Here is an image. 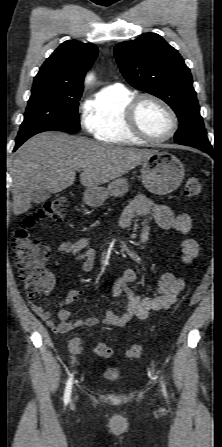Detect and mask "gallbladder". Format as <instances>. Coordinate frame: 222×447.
I'll list each match as a JSON object with an SVG mask.
<instances>
[{
    "mask_svg": "<svg viewBox=\"0 0 222 447\" xmlns=\"http://www.w3.org/2000/svg\"><path fill=\"white\" fill-rule=\"evenodd\" d=\"M50 196L51 193L47 189L39 187L34 191L32 202L35 204H40L48 200Z\"/></svg>",
    "mask_w": 222,
    "mask_h": 447,
    "instance_id": "obj_1",
    "label": "gallbladder"
}]
</instances>
